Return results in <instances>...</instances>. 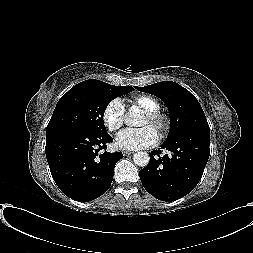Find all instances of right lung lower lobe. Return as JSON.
Returning <instances> with one entry per match:
<instances>
[{"label": "right lung lower lobe", "mask_w": 253, "mask_h": 253, "mask_svg": "<svg viewBox=\"0 0 253 253\" xmlns=\"http://www.w3.org/2000/svg\"><path fill=\"white\" fill-rule=\"evenodd\" d=\"M107 133L60 129L46 134V157L51 175L60 190L79 202H88L110 187L121 152L109 153Z\"/></svg>", "instance_id": "obj_1"}]
</instances>
